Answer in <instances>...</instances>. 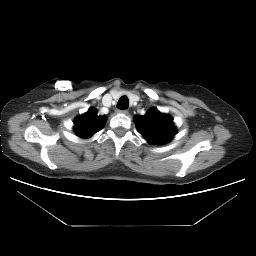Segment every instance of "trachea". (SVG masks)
Here are the masks:
<instances>
[{"instance_id":"trachea-1","label":"trachea","mask_w":256,"mask_h":256,"mask_svg":"<svg viewBox=\"0 0 256 256\" xmlns=\"http://www.w3.org/2000/svg\"><path fill=\"white\" fill-rule=\"evenodd\" d=\"M118 109L121 110H126L129 107V99L127 98V96H122L119 98L118 102H117V106Z\"/></svg>"}]
</instances>
